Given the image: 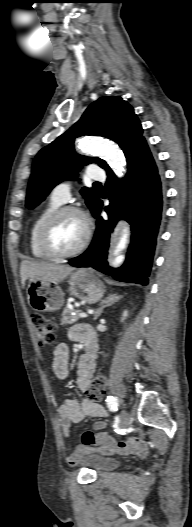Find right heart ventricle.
<instances>
[{
	"label": "right heart ventricle",
	"mask_w": 192,
	"mask_h": 527,
	"mask_svg": "<svg viewBox=\"0 0 192 527\" xmlns=\"http://www.w3.org/2000/svg\"><path fill=\"white\" fill-rule=\"evenodd\" d=\"M62 203L53 200L52 198L49 202L37 213L29 230V247L31 254L38 259H49V257L43 252L39 243V232L42 224L47 219V217L57 208L61 206Z\"/></svg>",
	"instance_id": "right-heart-ventricle-1"
}]
</instances>
